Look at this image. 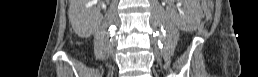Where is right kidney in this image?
<instances>
[{"label":"right kidney","mask_w":258,"mask_h":77,"mask_svg":"<svg viewBox=\"0 0 258 77\" xmlns=\"http://www.w3.org/2000/svg\"><path fill=\"white\" fill-rule=\"evenodd\" d=\"M89 5H92L93 3L91 2H97V0H87ZM73 28L75 30V32L81 36V37H89L95 30L96 26H97V22L94 23H87L84 22L83 20H78L76 22H73Z\"/></svg>","instance_id":"right-kidney-1"}]
</instances>
